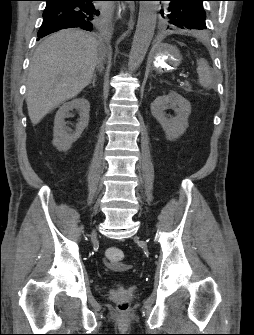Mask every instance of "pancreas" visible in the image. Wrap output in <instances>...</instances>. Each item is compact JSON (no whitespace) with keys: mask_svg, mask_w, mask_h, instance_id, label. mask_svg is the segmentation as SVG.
Wrapping results in <instances>:
<instances>
[{"mask_svg":"<svg viewBox=\"0 0 254 335\" xmlns=\"http://www.w3.org/2000/svg\"><path fill=\"white\" fill-rule=\"evenodd\" d=\"M183 88L185 89V91L190 92L191 91V85L189 84V82H185L183 83Z\"/></svg>","mask_w":254,"mask_h":335,"instance_id":"cf45deb5","label":"pancreas"}]
</instances>
